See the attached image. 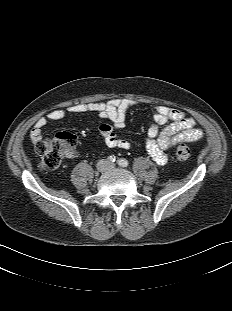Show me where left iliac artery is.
<instances>
[{
    "label": "left iliac artery",
    "instance_id": "obj_1",
    "mask_svg": "<svg viewBox=\"0 0 232 311\" xmlns=\"http://www.w3.org/2000/svg\"><path fill=\"white\" fill-rule=\"evenodd\" d=\"M118 165L119 166H122V167H127L129 165L128 161L126 159H119L117 161Z\"/></svg>",
    "mask_w": 232,
    "mask_h": 311
}]
</instances>
